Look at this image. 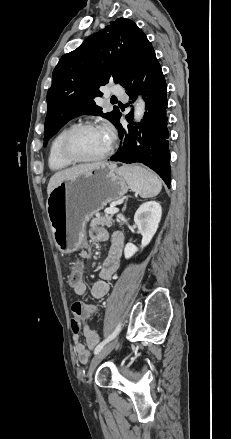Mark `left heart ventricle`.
I'll use <instances>...</instances> for the list:
<instances>
[{"instance_id":"obj_1","label":"left heart ventricle","mask_w":231,"mask_h":439,"mask_svg":"<svg viewBox=\"0 0 231 439\" xmlns=\"http://www.w3.org/2000/svg\"><path fill=\"white\" fill-rule=\"evenodd\" d=\"M110 139L102 128L86 129L76 134L72 140V148L82 158L101 155L109 146Z\"/></svg>"}]
</instances>
